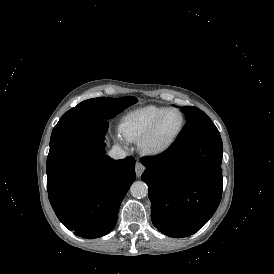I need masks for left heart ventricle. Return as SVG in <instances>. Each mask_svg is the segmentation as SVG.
I'll return each instance as SVG.
<instances>
[{
  "label": "left heart ventricle",
  "mask_w": 274,
  "mask_h": 274,
  "mask_svg": "<svg viewBox=\"0 0 274 274\" xmlns=\"http://www.w3.org/2000/svg\"><path fill=\"white\" fill-rule=\"evenodd\" d=\"M182 124V117L179 112L168 113L161 122L156 134L150 141L152 148H161L177 133Z\"/></svg>",
  "instance_id": "1"
}]
</instances>
